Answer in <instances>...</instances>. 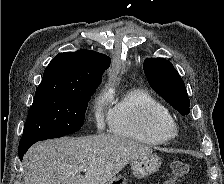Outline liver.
Instances as JSON below:
<instances>
[{
    "label": "liver",
    "instance_id": "obj_1",
    "mask_svg": "<svg viewBox=\"0 0 224 184\" xmlns=\"http://www.w3.org/2000/svg\"><path fill=\"white\" fill-rule=\"evenodd\" d=\"M116 135L63 137L34 144L23 159L25 184H105L129 162L152 154ZM85 167V176L79 167Z\"/></svg>",
    "mask_w": 224,
    "mask_h": 184
}]
</instances>
